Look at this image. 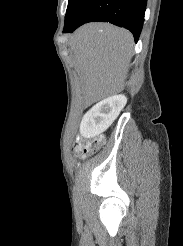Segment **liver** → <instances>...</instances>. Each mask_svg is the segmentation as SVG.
Wrapping results in <instances>:
<instances>
[{
    "label": "liver",
    "instance_id": "liver-1",
    "mask_svg": "<svg viewBox=\"0 0 183 246\" xmlns=\"http://www.w3.org/2000/svg\"><path fill=\"white\" fill-rule=\"evenodd\" d=\"M132 48V34L109 23H88L70 36V52L87 102L124 89Z\"/></svg>",
    "mask_w": 183,
    "mask_h": 246
}]
</instances>
